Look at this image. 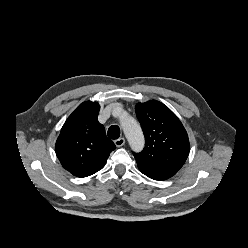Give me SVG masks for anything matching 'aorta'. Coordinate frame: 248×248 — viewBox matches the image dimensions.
I'll list each match as a JSON object with an SVG mask.
<instances>
[{
	"label": "aorta",
	"mask_w": 248,
	"mask_h": 248,
	"mask_svg": "<svg viewBox=\"0 0 248 248\" xmlns=\"http://www.w3.org/2000/svg\"><path fill=\"white\" fill-rule=\"evenodd\" d=\"M117 111L121 115V126L131 149L135 152L141 151L144 147L145 141L139 123L121 108H118Z\"/></svg>",
	"instance_id": "1"
}]
</instances>
